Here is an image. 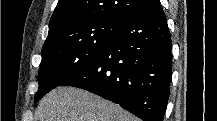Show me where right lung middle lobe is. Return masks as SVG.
Masks as SVG:
<instances>
[{
	"label": "right lung middle lobe",
	"mask_w": 217,
	"mask_h": 121,
	"mask_svg": "<svg viewBox=\"0 0 217 121\" xmlns=\"http://www.w3.org/2000/svg\"><path fill=\"white\" fill-rule=\"evenodd\" d=\"M122 24L115 20L80 24L43 45L35 102L95 61Z\"/></svg>",
	"instance_id": "right-lung-middle-lobe-1"
}]
</instances>
